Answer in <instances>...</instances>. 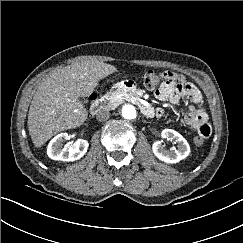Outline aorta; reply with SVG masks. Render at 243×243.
Here are the masks:
<instances>
[{
  "label": "aorta",
  "mask_w": 243,
  "mask_h": 243,
  "mask_svg": "<svg viewBox=\"0 0 243 243\" xmlns=\"http://www.w3.org/2000/svg\"><path fill=\"white\" fill-rule=\"evenodd\" d=\"M121 113L123 118L127 120H134L137 116L135 107L130 104L124 105L121 109Z\"/></svg>",
  "instance_id": "1"
}]
</instances>
